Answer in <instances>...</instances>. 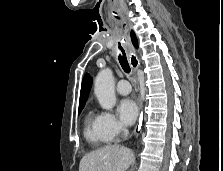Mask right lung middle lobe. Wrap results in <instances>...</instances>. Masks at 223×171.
I'll return each mask as SVG.
<instances>
[{"instance_id":"right-lung-middle-lobe-1","label":"right lung middle lobe","mask_w":223,"mask_h":171,"mask_svg":"<svg viewBox=\"0 0 223 171\" xmlns=\"http://www.w3.org/2000/svg\"><path fill=\"white\" fill-rule=\"evenodd\" d=\"M84 106L79 107L78 114H80L81 110L83 109Z\"/></svg>"}]
</instances>
